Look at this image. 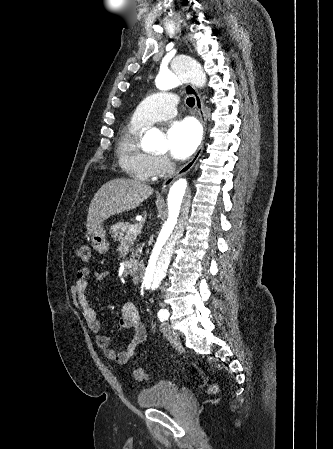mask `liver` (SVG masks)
Segmentation results:
<instances>
[{
  "instance_id": "obj_1",
  "label": "liver",
  "mask_w": 333,
  "mask_h": 449,
  "mask_svg": "<svg viewBox=\"0 0 333 449\" xmlns=\"http://www.w3.org/2000/svg\"><path fill=\"white\" fill-rule=\"evenodd\" d=\"M153 189L139 181L117 178L106 182L94 195L87 215V232L91 234L106 219L135 209Z\"/></svg>"
}]
</instances>
